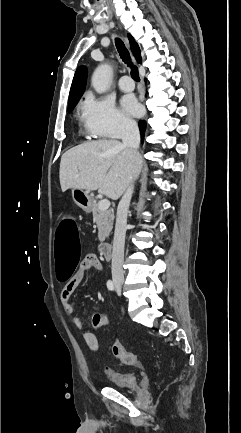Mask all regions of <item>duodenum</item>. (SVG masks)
I'll use <instances>...</instances> for the list:
<instances>
[{"instance_id": "410a0bca", "label": "duodenum", "mask_w": 241, "mask_h": 433, "mask_svg": "<svg viewBox=\"0 0 241 433\" xmlns=\"http://www.w3.org/2000/svg\"><path fill=\"white\" fill-rule=\"evenodd\" d=\"M100 253L105 260H109L112 255V245L109 242L100 244Z\"/></svg>"}]
</instances>
